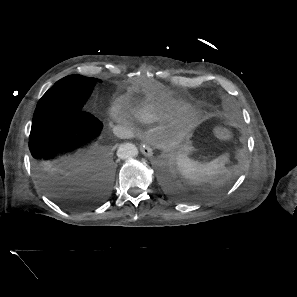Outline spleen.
Segmentation results:
<instances>
[{
  "instance_id": "spleen-1",
  "label": "spleen",
  "mask_w": 297,
  "mask_h": 297,
  "mask_svg": "<svg viewBox=\"0 0 297 297\" xmlns=\"http://www.w3.org/2000/svg\"><path fill=\"white\" fill-rule=\"evenodd\" d=\"M227 160L228 156L223 154L208 163H200L180 154L177 158V166L182 176L191 184H215L219 182L218 178L226 173L224 165Z\"/></svg>"
}]
</instances>
